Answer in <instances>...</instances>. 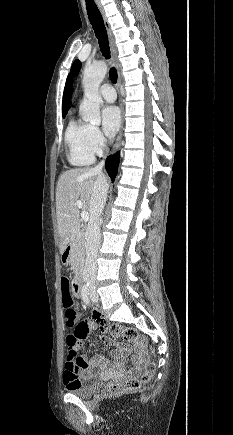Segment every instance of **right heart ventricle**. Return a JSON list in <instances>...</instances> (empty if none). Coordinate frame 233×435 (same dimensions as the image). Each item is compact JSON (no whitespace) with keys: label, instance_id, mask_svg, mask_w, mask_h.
Here are the masks:
<instances>
[{"label":"right heart ventricle","instance_id":"right-heart-ventricle-1","mask_svg":"<svg viewBox=\"0 0 233 435\" xmlns=\"http://www.w3.org/2000/svg\"><path fill=\"white\" fill-rule=\"evenodd\" d=\"M90 125L72 117L65 132L68 146V160L74 166H89L94 162V154L89 148Z\"/></svg>","mask_w":233,"mask_h":435}]
</instances>
